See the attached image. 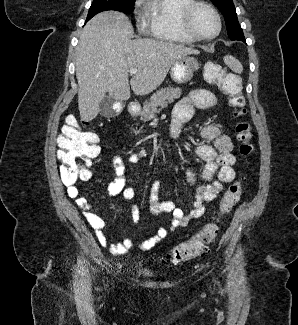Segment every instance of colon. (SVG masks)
<instances>
[{
	"instance_id": "obj_1",
	"label": "colon",
	"mask_w": 298,
	"mask_h": 325,
	"mask_svg": "<svg viewBox=\"0 0 298 325\" xmlns=\"http://www.w3.org/2000/svg\"><path fill=\"white\" fill-rule=\"evenodd\" d=\"M204 78L224 92L229 105L234 109L233 115L239 119L235 126V135L240 142L239 152L247 158L254 147L251 143V127L244 119L247 114L246 100L242 94L239 77L218 63L208 62L204 66ZM99 152L97 136L81 129L77 120L69 117L58 138V159L63 183L73 186L78 181L90 178L92 160ZM242 190V178L229 186L220 201L219 215L231 212L238 203ZM217 234L218 225L215 222L206 224L192 238L173 248L169 256L170 261L179 263L196 257L215 240Z\"/></svg>"
}]
</instances>
